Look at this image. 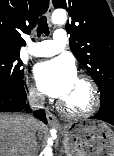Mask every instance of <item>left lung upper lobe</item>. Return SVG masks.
Segmentation results:
<instances>
[{"instance_id":"left-lung-upper-lobe-1","label":"left lung upper lobe","mask_w":114,"mask_h":156,"mask_svg":"<svg viewBox=\"0 0 114 156\" xmlns=\"http://www.w3.org/2000/svg\"><path fill=\"white\" fill-rule=\"evenodd\" d=\"M53 5L70 13V49L97 84L101 105L114 102V18L106 0H53Z\"/></svg>"}]
</instances>
